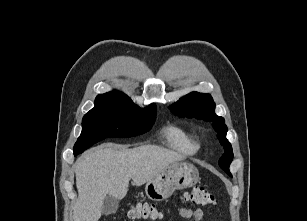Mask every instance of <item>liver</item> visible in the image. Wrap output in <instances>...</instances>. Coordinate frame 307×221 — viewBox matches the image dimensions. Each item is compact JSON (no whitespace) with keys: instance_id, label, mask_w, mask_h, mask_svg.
Instances as JSON below:
<instances>
[{"instance_id":"1","label":"liver","mask_w":307,"mask_h":221,"mask_svg":"<svg viewBox=\"0 0 307 221\" xmlns=\"http://www.w3.org/2000/svg\"><path fill=\"white\" fill-rule=\"evenodd\" d=\"M184 158L178 152L154 145L130 149L101 145L85 152L75 164L78 199L74 221H98L107 195L123 199L130 179L140 186Z\"/></svg>"}]
</instances>
